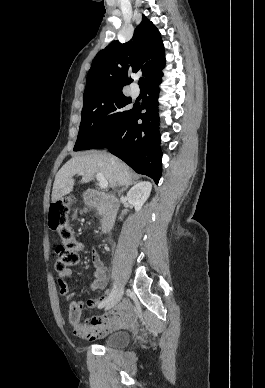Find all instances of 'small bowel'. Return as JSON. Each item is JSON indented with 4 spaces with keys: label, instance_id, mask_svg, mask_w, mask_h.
I'll return each instance as SVG.
<instances>
[{
    "label": "small bowel",
    "instance_id": "obj_1",
    "mask_svg": "<svg viewBox=\"0 0 265 388\" xmlns=\"http://www.w3.org/2000/svg\"><path fill=\"white\" fill-rule=\"evenodd\" d=\"M93 264V282L89 285L88 291L104 290L108 284L107 272L104 263L101 259L98 249L95 247L91 254ZM72 275L70 268L65 269L59 273L58 285L60 294L68 302V320L72 327L73 333L79 338L86 340H94L103 334L121 327L128 326L131 322V315L128 311L127 304L124 302L119 303L114 312L102 319L99 317H92L85 322H81L82 310L85 306L89 308L98 307L104 304L110 297L108 291H105L99 299L88 300L87 302L75 301V292H70L67 279ZM60 325L63 324V320H60Z\"/></svg>",
    "mask_w": 265,
    "mask_h": 388
}]
</instances>
